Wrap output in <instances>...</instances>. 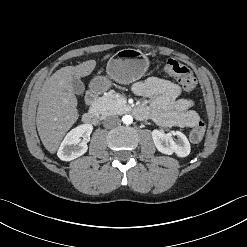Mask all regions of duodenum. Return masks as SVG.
Segmentation results:
<instances>
[{
  "label": "duodenum",
  "instance_id": "410a0bca",
  "mask_svg": "<svg viewBox=\"0 0 247 247\" xmlns=\"http://www.w3.org/2000/svg\"><path fill=\"white\" fill-rule=\"evenodd\" d=\"M100 93V88L98 86H94L86 95V103L88 105H92L96 100L97 96ZM135 114L138 117L142 116V111L140 109L135 110ZM82 120L86 124L97 125L99 122L98 114L94 109H89L82 117Z\"/></svg>",
  "mask_w": 247,
  "mask_h": 247
}]
</instances>
